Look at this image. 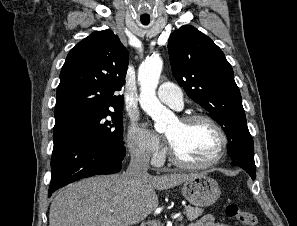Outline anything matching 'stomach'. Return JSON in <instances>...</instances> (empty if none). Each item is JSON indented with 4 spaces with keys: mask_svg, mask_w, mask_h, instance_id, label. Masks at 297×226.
I'll use <instances>...</instances> for the list:
<instances>
[{
    "mask_svg": "<svg viewBox=\"0 0 297 226\" xmlns=\"http://www.w3.org/2000/svg\"><path fill=\"white\" fill-rule=\"evenodd\" d=\"M182 194L192 205L206 207L217 201L221 191L213 178L200 173L183 182Z\"/></svg>",
    "mask_w": 297,
    "mask_h": 226,
    "instance_id": "obj_1",
    "label": "stomach"
}]
</instances>
